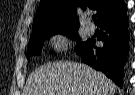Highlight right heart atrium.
I'll return each mask as SVG.
<instances>
[{"mask_svg":"<svg viewBox=\"0 0 135 95\" xmlns=\"http://www.w3.org/2000/svg\"><path fill=\"white\" fill-rule=\"evenodd\" d=\"M68 38L63 33H57L52 37V45L56 51H64L68 47Z\"/></svg>","mask_w":135,"mask_h":95,"instance_id":"obj_1","label":"right heart atrium"}]
</instances>
